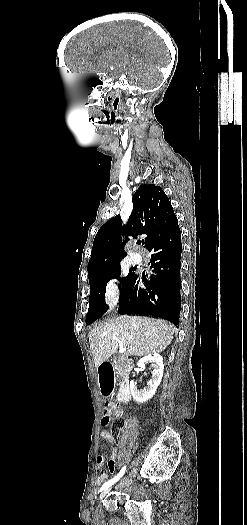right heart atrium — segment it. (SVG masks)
<instances>
[{"label":"right heart atrium","mask_w":247,"mask_h":525,"mask_svg":"<svg viewBox=\"0 0 247 525\" xmlns=\"http://www.w3.org/2000/svg\"><path fill=\"white\" fill-rule=\"evenodd\" d=\"M104 300L108 306H114L119 300V286L115 279H108L104 285Z\"/></svg>","instance_id":"1"}]
</instances>
